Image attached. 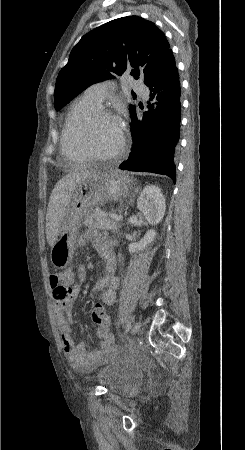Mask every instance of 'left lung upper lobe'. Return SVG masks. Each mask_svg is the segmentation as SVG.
Returning <instances> with one entry per match:
<instances>
[{
    "label": "left lung upper lobe",
    "instance_id": "5c2ea615",
    "mask_svg": "<svg viewBox=\"0 0 245 450\" xmlns=\"http://www.w3.org/2000/svg\"><path fill=\"white\" fill-rule=\"evenodd\" d=\"M173 56L164 33L139 16L112 20L84 35L58 74V111L90 85L129 73L146 84ZM131 115L135 106L129 108Z\"/></svg>",
    "mask_w": 245,
    "mask_h": 450
}]
</instances>
